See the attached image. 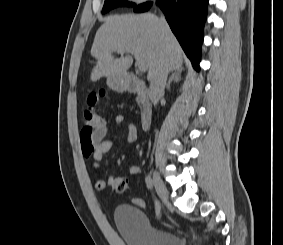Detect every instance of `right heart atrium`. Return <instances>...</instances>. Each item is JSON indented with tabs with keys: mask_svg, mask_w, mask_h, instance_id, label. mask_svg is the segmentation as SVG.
<instances>
[{
	"mask_svg": "<svg viewBox=\"0 0 283 245\" xmlns=\"http://www.w3.org/2000/svg\"><path fill=\"white\" fill-rule=\"evenodd\" d=\"M130 1L136 5H142V4L148 3L153 0H130Z\"/></svg>",
	"mask_w": 283,
	"mask_h": 245,
	"instance_id": "right-heart-atrium-1",
	"label": "right heart atrium"
}]
</instances>
